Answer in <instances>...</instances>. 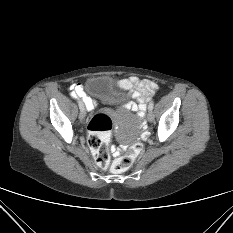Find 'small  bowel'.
Listing matches in <instances>:
<instances>
[{
  "instance_id": "small-bowel-1",
  "label": "small bowel",
  "mask_w": 233,
  "mask_h": 233,
  "mask_svg": "<svg viewBox=\"0 0 233 233\" xmlns=\"http://www.w3.org/2000/svg\"><path fill=\"white\" fill-rule=\"evenodd\" d=\"M127 83L133 88V98L136 100V103L127 104L124 108L136 111L137 115L141 118L144 116L147 103L158 90V85L152 80L139 79L138 77H130ZM71 95L74 98H82L88 110H93L97 105L95 100L86 95L84 87L80 83H75L71 86ZM112 153L117 157L121 153V150L117 147H112Z\"/></svg>"
}]
</instances>
